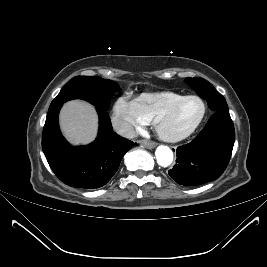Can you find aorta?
Instances as JSON below:
<instances>
[{"instance_id":"762f6f07","label":"aorta","mask_w":267,"mask_h":267,"mask_svg":"<svg viewBox=\"0 0 267 267\" xmlns=\"http://www.w3.org/2000/svg\"><path fill=\"white\" fill-rule=\"evenodd\" d=\"M155 155L157 163L162 167H168L173 161V152L167 146H158Z\"/></svg>"}]
</instances>
